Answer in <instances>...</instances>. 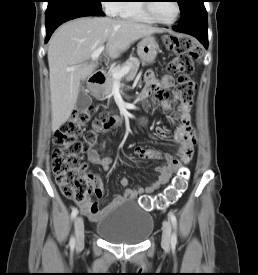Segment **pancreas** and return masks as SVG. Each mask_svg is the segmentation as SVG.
<instances>
[{"mask_svg": "<svg viewBox=\"0 0 258 275\" xmlns=\"http://www.w3.org/2000/svg\"><path fill=\"white\" fill-rule=\"evenodd\" d=\"M125 66H130V70L126 75V79L127 80L134 79L138 72L139 66H140L139 59L130 58L122 65V67H117L116 70H121ZM114 81H115V79L113 77V72L111 70L106 74V81L103 85V95L109 96L111 94Z\"/></svg>", "mask_w": 258, "mask_h": 275, "instance_id": "cf45deb5", "label": "pancreas"}]
</instances>
